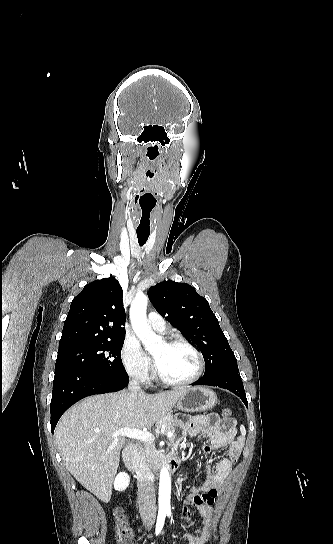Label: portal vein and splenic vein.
Wrapping results in <instances>:
<instances>
[{"mask_svg":"<svg viewBox=\"0 0 333 544\" xmlns=\"http://www.w3.org/2000/svg\"><path fill=\"white\" fill-rule=\"evenodd\" d=\"M164 429V427H162ZM113 437H119V436H125L132 439H138L142 441H154L155 436L148 431L145 430H139V429H130V428H122L112 433ZM173 436L172 431L167 432V437L170 438Z\"/></svg>","mask_w":333,"mask_h":544,"instance_id":"1","label":"portal vein and splenic vein"}]
</instances>
